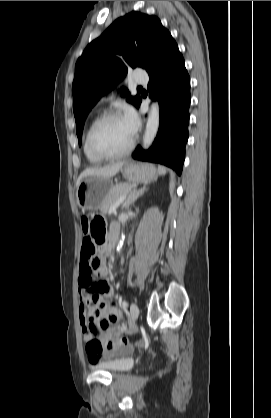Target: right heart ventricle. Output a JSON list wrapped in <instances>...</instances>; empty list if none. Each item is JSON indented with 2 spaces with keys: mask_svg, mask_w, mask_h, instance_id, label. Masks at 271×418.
<instances>
[{
  "mask_svg": "<svg viewBox=\"0 0 271 418\" xmlns=\"http://www.w3.org/2000/svg\"><path fill=\"white\" fill-rule=\"evenodd\" d=\"M94 123V120L88 125V127H87V129H86V132H85V135H84V141H83V150H84V154H85V156H86V158H87V160L90 162V163H93V164H97V163H100L103 159H101V158H98L97 156H95L91 151H90V149H89V147H88V143H87V136H88V132H89V130H90V128H91V126H92V124Z\"/></svg>",
  "mask_w": 271,
  "mask_h": 418,
  "instance_id": "e07e8e85",
  "label": "right heart ventricle"
}]
</instances>
